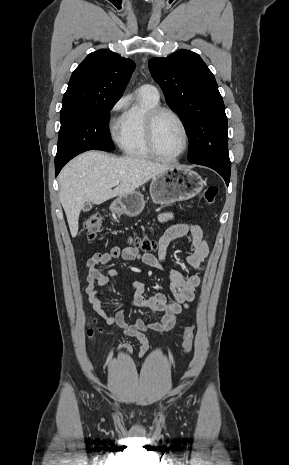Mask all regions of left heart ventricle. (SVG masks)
<instances>
[{
	"instance_id": "obj_1",
	"label": "left heart ventricle",
	"mask_w": 289,
	"mask_h": 465,
	"mask_svg": "<svg viewBox=\"0 0 289 465\" xmlns=\"http://www.w3.org/2000/svg\"><path fill=\"white\" fill-rule=\"evenodd\" d=\"M156 143L165 156L179 153L184 146V133L178 121L168 114H163L156 126Z\"/></svg>"
}]
</instances>
